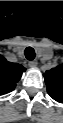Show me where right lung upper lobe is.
Wrapping results in <instances>:
<instances>
[{
  "instance_id": "obj_1",
  "label": "right lung upper lobe",
  "mask_w": 63,
  "mask_h": 123,
  "mask_svg": "<svg viewBox=\"0 0 63 123\" xmlns=\"http://www.w3.org/2000/svg\"><path fill=\"white\" fill-rule=\"evenodd\" d=\"M0 62V94H6L14 90L26 69L20 64L8 62L5 58Z\"/></svg>"
}]
</instances>
